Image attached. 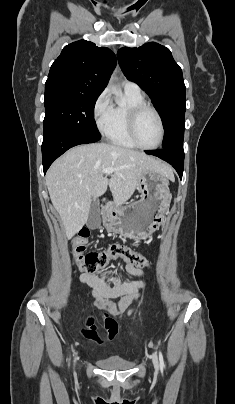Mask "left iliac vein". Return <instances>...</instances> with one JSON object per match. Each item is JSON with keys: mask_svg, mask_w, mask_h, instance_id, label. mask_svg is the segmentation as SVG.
I'll return each mask as SVG.
<instances>
[{"mask_svg": "<svg viewBox=\"0 0 235 404\" xmlns=\"http://www.w3.org/2000/svg\"><path fill=\"white\" fill-rule=\"evenodd\" d=\"M152 361H153V365H154L156 371H158L159 370V362H158L157 355L155 353L152 354Z\"/></svg>", "mask_w": 235, "mask_h": 404, "instance_id": "obj_1", "label": "left iliac vein"}]
</instances>
